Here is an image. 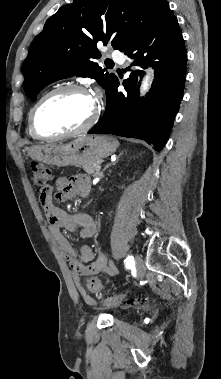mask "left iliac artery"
Masks as SVG:
<instances>
[{
  "label": "left iliac artery",
  "instance_id": "44dca946",
  "mask_svg": "<svg viewBox=\"0 0 221 379\" xmlns=\"http://www.w3.org/2000/svg\"><path fill=\"white\" fill-rule=\"evenodd\" d=\"M135 265V260L132 255H128L125 260V266L127 269H131Z\"/></svg>",
  "mask_w": 221,
  "mask_h": 379
}]
</instances>
